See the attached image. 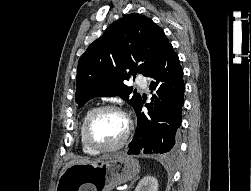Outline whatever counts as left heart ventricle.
<instances>
[{"instance_id": "left-heart-ventricle-1", "label": "left heart ventricle", "mask_w": 251, "mask_h": 191, "mask_svg": "<svg viewBox=\"0 0 251 191\" xmlns=\"http://www.w3.org/2000/svg\"><path fill=\"white\" fill-rule=\"evenodd\" d=\"M125 123L113 111L98 114L90 127V138L98 146L108 147L118 143L124 133Z\"/></svg>"}]
</instances>
